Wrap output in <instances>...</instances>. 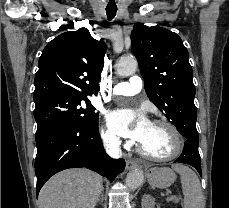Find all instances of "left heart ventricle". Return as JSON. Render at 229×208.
<instances>
[{"mask_svg": "<svg viewBox=\"0 0 229 208\" xmlns=\"http://www.w3.org/2000/svg\"><path fill=\"white\" fill-rule=\"evenodd\" d=\"M171 129L162 125H150L148 132L141 143L147 152L152 153V157H166L173 154L179 147H172L170 142Z\"/></svg>", "mask_w": 229, "mask_h": 208, "instance_id": "b2bd125f", "label": "left heart ventricle"}]
</instances>
